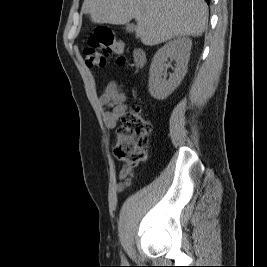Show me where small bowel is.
<instances>
[{
  "mask_svg": "<svg viewBox=\"0 0 267 267\" xmlns=\"http://www.w3.org/2000/svg\"><path fill=\"white\" fill-rule=\"evenodd\" d=\"M127 97L120 85L116 82H110L104 88L99 97V104L103 110L104 124L108 129L116 127L118 121L125 115L127 111ZM132 169L124 166L119 172L118 191H122L129 185V177Z\"/></svg>",
  "mask_w": 267,
  "mask_h": 267,
  "instance_id": "c3829d8e",
  "label": "small bowel"
}]
</instances>
